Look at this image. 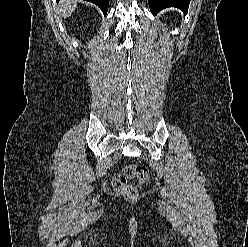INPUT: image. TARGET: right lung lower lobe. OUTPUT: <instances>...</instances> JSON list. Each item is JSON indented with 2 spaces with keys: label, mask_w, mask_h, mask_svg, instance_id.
<instances>
[{
  "label": "right lung lower lobe",
  "mask_w": 248,
  "mask_h": 247,
  "mask_svg": "<svg viewBox=\"0 0 248 247\" xmlns=\"http://www.w3.org/2000/svg\"><path fill=\"white\" fill-rule=\"evenodd\" d=\"M86 1L96 4L103 11L104 15H106L109 6V0H86Z\"/></svg>",
  "instance_id": "98d812e1"
}]
</instances>
